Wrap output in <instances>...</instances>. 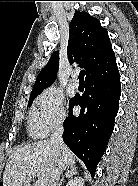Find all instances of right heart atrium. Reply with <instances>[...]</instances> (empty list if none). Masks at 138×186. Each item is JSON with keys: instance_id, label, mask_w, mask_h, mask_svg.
Masks as SVG:
<instances>
[{"instance_id": "obj_1", "label": "right heart atrium", "mask_w": 138, "mask_h": 186, "mask_svg": "<svg viewBox=\"0 0 138 186\" xmlns=\"http://www.w3.org/2000/svg\"><path fill=\"white\" fill-rule=\"evenodd\" d=\"M35 113L43 134L61 127L67 116L66 102L62 92L55 86L42 91L36 99Z\"/></svg>"}]
</instances>
